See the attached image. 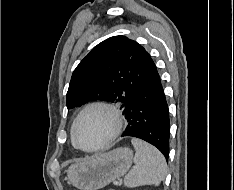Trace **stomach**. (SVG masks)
Segmentation results:
<instances>
[{"label":"stomach","instance_id":"obj_1","mask_svg":"<svg viewBox=\"0 0 234 190\" xmlns=\"http://www.w3.org/2000/svg\"><path fill=\"white\" fill-rule=\"evenodd\" d=\"M132 159L131 149L119 147L72 164L66 170L67 178L79 190H98L125 175Z\"/></svg>","mask_w":234,"mask_h":190}]
</instances>
